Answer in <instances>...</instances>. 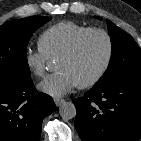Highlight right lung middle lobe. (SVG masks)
I'll return each instance as SVG.
<instances>
[{
  "label": "right lung middle lobe",
  "mask_w": 141,
  "mask_h": 141,
  "mask_svg": "<svg viewBox=\"0 0 141 141\" xmlns=\"http://www.w3.org/2000/svg\"><path fill=\"white\" fill-rule=\"evenodd\" d=\"M51 17L31 16L0 26V81L13 82L30 78L26 48L33 32Z\"/></svg>",
  "instance_id": "right-lung-middle-lobe-1"
}]
</instances>
